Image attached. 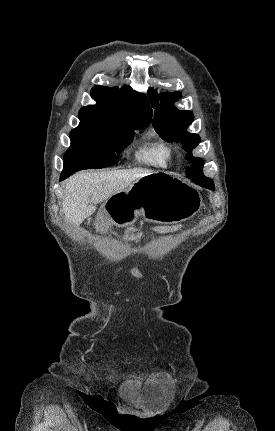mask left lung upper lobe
I'll use <instances>...</instances> for the list:
<instances>
[{
  "label": "left lung upper lobe",
  "mask_w": 275,
  "mask_h": 431,
  "mask_svg": "<svg viewBox=\"0 0 275 431\" xmlns=\"http://www.w3.org/2000/svg\"><path fill=\"white\" fill-rule=\"evenodd\" d=\"M148 97L151 106L155 109L153 125L157 131L161 132V137L167 142L181 141L184 149L191 152L200 143V137L186 131V128L193 122V113L178 110L172 105L181 98V93L163 92L157 96L154 90L149 89ZM188 160L193 164L186 171V175H203V160L192 155L188 156Z\"/></svg>",
  "instance_id": "left-lung-upper-lobe-1"
}]
</instances>
